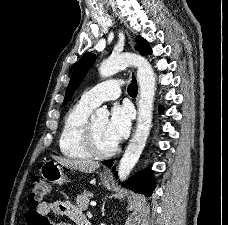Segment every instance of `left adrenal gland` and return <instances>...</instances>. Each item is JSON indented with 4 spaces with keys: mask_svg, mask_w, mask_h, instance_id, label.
<instances>
[{
    "mask_svg": "<svg viewBox=\"0 0 228 225\" xmlns=\"http://www.w3.org/2000/svg\"><path fill=\"white\" fill-rule=\"evenodd\" d=\"M103 211H105L104 207H103V209H102V215H105V213H103Z\"/></svg>",
    "mask_w": 228,
    "mask_h": 225,
    "instance_id": "left-adrenal-gland-1",
    "label": "left adrenal gland"
}]
</instances>
